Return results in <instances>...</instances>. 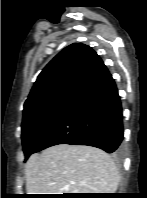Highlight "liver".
I'll return each instance as SVG.
<instances>
[{
    "mask_svg": "<svg viewBox=\"0 0 147 198\" xmlns=\"http://www.w3.org/2000/svg\"><path fill=\"white\" fill-rule=\"evenodd\" d=\"M27 194L114 193L119 172L106 152L59 144L32 154L25 165Z\"/></svg>",
    "mask_w": 147,
    "mask_h": 198,
    "instance_id": "obj_1",
    "label": "liver"
}]
</instances>
